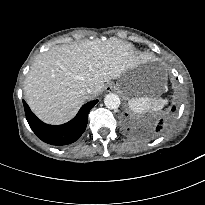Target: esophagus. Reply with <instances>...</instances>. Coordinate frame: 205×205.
Instances as JSON below:
<instances>
[{"mask_svg": "<svg viewBox=\"0 0 205 205\" xmlns=\"http://www.w3.org/2000/svg\"><path fill=\"white\" fill-rule=\"evenodd\" d=\"M106 90H107V91L112 90V85H108V86L106 87Z\"/></svg>", "mask_w": 205, "mask_h": 205, "instance_id": "1", "label": "esophagus"}]
</instances>
